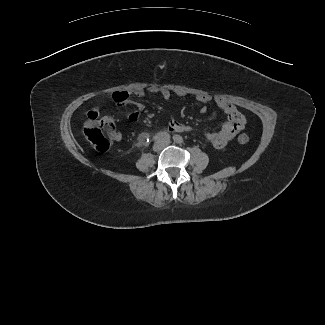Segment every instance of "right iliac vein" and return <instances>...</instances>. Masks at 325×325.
<instances>
[{"label":"right iliac vein","mask_w":325,"mask_h":325,"mask_svg":"<svg viewBox=\"0 0 325 325\" xmlns=\"http://www.w3.org/2000/svg\"><path fill=\"white\" fill-rule=\"evenodd\" d=\"M153 148H154L155 151H159V150H161V148H162V143H161V142L156 143V144L154 145Z\"/></svg>","instance_id":"1"}]
</instances>
